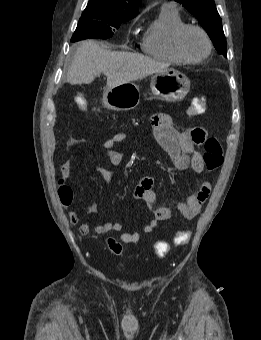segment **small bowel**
Here are the masks:
<instances>
[{
	"mask_svg": "<svg viewBox=\"0 0 261 340\" xmlns=\"http://www.w3.org/2000/svg\"><path fill=\"white\" fill-rule=\"evenodd\" d=\"M149 129L155 142L168 154L175 169L185 170L191 168L195 173H202L205 170L204 159L197 149L207 137V131L204 128L193 127L179 131L174 127L172 118L162 113L152 118ZM127 136V133L119 132L107 138L102 144L107 158L113 166H118L122 162L121 153L116 151L114 147L124 141ZM88 142L86 138H73L70 141V146L75 147ZM95 170L102 177L106 185L111 183L112 173L110 170L101 165H95ZM61 174L64 179L71 177V159L63 163ZM210 191V183L204 181L198 184L194 193L185 202L176 201L173 208L164 206L155 208L156 193L154 191V179L151 176L142 177L135 189L134 196L137 199L143 200L154 213V219L144 226L143 232L151 233L160 222L168 221L172 216L173 209L179 211L188 220L195 218L201 212ZM80 219L81 216L76 211H72L69 214V221L72 224L78 223ZM91 229L97 234H105L121 232L124 226L120 222L111 221L94 225L89 222H82L78 231L81 236H86ZM120 239L124 243H137L140 240V234L137 232H123Z\"/></svg>",
	"mask_w": 261,
	"mask_h": 340,
	"instance_id": "obj_1",
	"label": "small bowel"
}]
</instances>
